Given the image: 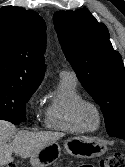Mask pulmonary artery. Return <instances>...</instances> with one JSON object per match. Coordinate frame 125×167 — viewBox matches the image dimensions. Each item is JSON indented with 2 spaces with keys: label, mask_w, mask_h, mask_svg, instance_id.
<instances>
[{
  "label": "pulmonary artery",
  "mask_w": 125,
  "mask_h": 167,
  "mask_svg": "<svg viewBox=\"0 0 125 167\" xmlns=\"http://www.w3.org/2000/svg\"><path fill=\"white\" fill-rule=\"evenodd\" d=\"M60 77H72V78H75V75L73 72L71 71H68V70H62L60 72Z\"/></svg>",
  "instance_id": "e3ab8cb5"
}]
</instances>
